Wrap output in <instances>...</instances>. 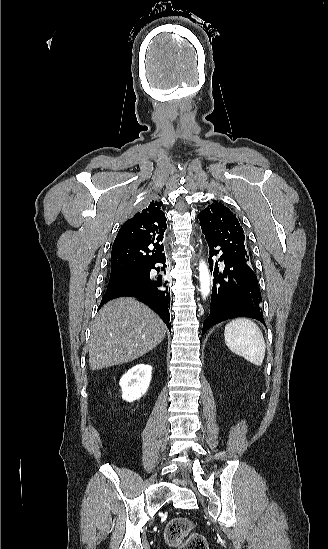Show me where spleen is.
<instances>
[{
	"label": "spleen",
	"instance_id": "spleen-1",
	"mask_svg": "<svg viewBox=\"0 0 328 549\" xmlns=\"http://www.w3.org/2000/svg\"><path fill=\"white\" fill-rule=\"evenodd\" d=\"M225 343L239 357L252 365L261 367L266 351L264 337L257 325L250 319H234L225 327Z\"/></svg>",
	"mask_w": 328,
	"mask_h": 549
}]
</instances>
